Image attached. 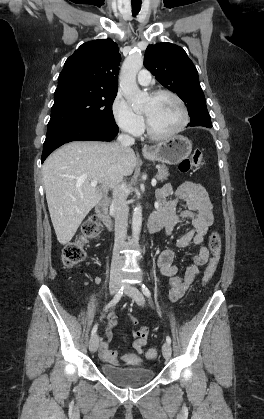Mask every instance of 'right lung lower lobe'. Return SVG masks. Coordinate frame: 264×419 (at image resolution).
Wrapping results in <instances>:
<instances>
[{
    "mask_svg": "<svg viewBox=\"0 0 264 419\" xmlns=\"http://www.w3.org/2000/svg\"><path fill=\"white\" fill-rule=\"evenodd\" d=\"M119 131L114 123L85 122L76 123L59 129L53 134L46 136L41 162L59 146L75 140L110 141Z\"/></svg>",
    "mask_w": 264,
    "mask_h": 419,
    "instance_id": "98d812e1",
    "label": "right lung lower lobe"
}]
</instances>
